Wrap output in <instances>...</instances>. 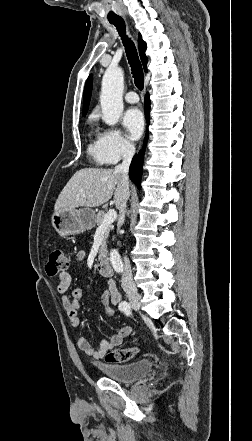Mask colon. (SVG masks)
Masks as SVG:
<instances>
[{"instance_id":"obj_1","label":"colon","mask_w":252,"mask_h":441,"mask_svg":"<svg viewBox=\"0 0 252 441\" xmlns=\"http://www.w3.org/2000/svg\"><path fill=\"white\" fill-rule=\"evenodd\" d=\"M68 265V259L62 250L55 249L49 254V259L46 264V272L50 276H54L63 271ZM100 315L105 318H111L114 315V306L103 305ZM137 348L117 349L108 352L105 355V360L108 363H124L134 358L138 354Z\"/></svg>"}]
</instances>
